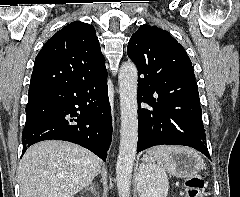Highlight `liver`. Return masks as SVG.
<instances>
[{"mask_svg": "<svg viewBox=\"0 0 240 197\" xmlns=\"http://www.w3.org/2000/svg\"><path fill=\"white\" fill-rule=\"evenodd\" d=\"M100 169V158L84 147L66 141L39 142L20 161V197H73L92 183Z\"/></svg>", "mask_w": 240, "mask_h": 197, "instance_id": "obj_1", "label": "liver"}]
</instances>
